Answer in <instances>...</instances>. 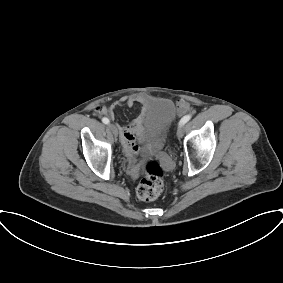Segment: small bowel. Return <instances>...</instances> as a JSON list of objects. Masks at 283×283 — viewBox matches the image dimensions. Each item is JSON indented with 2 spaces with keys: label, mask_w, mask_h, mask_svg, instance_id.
Listing matches in <instances>:
<instances>
[{
  "label": "small bowel",
  "mask_w": 283,
  "mask_h": 283,
  "mask_svg": "<svg viewBox=\"0 0 283 283\" xmlns=\"http://www.w3.org/2000/svg\"><path fill=\"white\" fill-rule=\"evenodd\" d=\"M135 104H141L143 106L141 113L128 125H118L121 142L129 164H132L134 156L141 150V144L144 141L143 124L148 113L149 99L142 94H132L130 96L122 97L119 101L114 102L108 108L102 110L103 114L113 119L114 111L117 106L126 105L128 107H133ZM188 108L189 105L185 101H179L177 104L179 115L185 114L188 111ZM131 174H137L135 167L131 168Z\"/></svg>",
  "instance_id": "1"
}]
</instances>
